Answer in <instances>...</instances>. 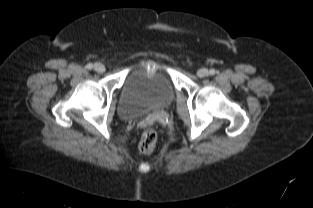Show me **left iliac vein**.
<instances>
[{
  "instance_id": "obj_1",
  "label": "left iliac vein",
  "mask_w": 313,
  "mask_h": 208,
  "mask_svg": "<svg viewBox=\"0 0 313 208\" xmlns=\"http://www.w3.org/2000/svg\"><path fill=\"white\" fill-rule=\"evenodd\" d=\"M197 75L201 78L206 77L208 75V70L205 68H201L197 71Z\"/></svg>"
}]
</instances>
